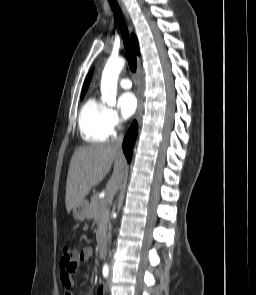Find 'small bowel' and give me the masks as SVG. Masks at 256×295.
Listing matches in <instances>:
<instances>
[{
    "label": "small bowel",
    "instance_id": "c3829d8e",
    "mask_svg": "<svg viewBox=\"0 0 256 295\" xmlns=\"http://www.w3.org/2000/svg\"><path fill=\"white\" fill-rule=\"evenodd\" d=\"M92 256H93L92 248L90 247L83 248L81 252L79 253L78 267H82L87 261H89L92 258ZM75 270L70 271L67 269H63L60 273V279L64 287V295H74L72 291V287H73L72 273ZM106 292H107V287L104 284H99L96 289V294L106 295Z\"/></svg>",
    "mask_w": 256,
    "mask_h": 295
}]
</instances>
